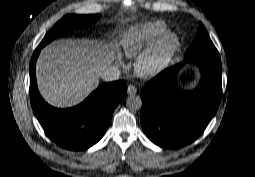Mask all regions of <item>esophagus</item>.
<instances>
[{
    "label": "esophagus",
    "mask_w": 255,
    "mask_h": 177,
    "mask_svg": "<svg viewBox=\"0 0 255 177\" xmlns=\"http://www.w3.org/2000/svg\"><path fill=\"white\" fill-rule=\"evenodd\" d=\"M127 93L129 95H136L137 89L133 85H129Z\"/></svg>",
    "instance_id": "esophagus-1"
}]
</instances>
